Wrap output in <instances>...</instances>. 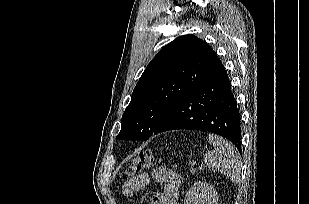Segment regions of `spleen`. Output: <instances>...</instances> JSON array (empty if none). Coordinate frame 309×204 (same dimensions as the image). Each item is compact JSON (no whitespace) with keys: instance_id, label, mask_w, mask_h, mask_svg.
<instances>
[{"instance_id":"obj_1","label":"spleen","mask_w":309,"mask_h":204,"mask_svg":"<svg viewBox=\"0 0 309 204\" xmlns=\"http://www.w3.org/2000/svg\"><path fill=\"white\" fill-rule=\"evenodd\" d=\"M208 141L213 149L204 155V162L213 171H217L233 182L240 180V157L235 148L218 135L209 134Z\"/></svg>"}]
</instances>
